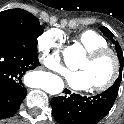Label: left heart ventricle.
<instances>
[{
  "instance_id": "1",
  "label": "left heart ventricle",
  "mask_w": 124,
  "mask_h": 124,
  "mask_svg": "<svg viewBox=\"0 0 124 124\" xmlns=\"http://www.w3.org/2000/svg\"><path fill=\"white\" fill-rule=\"evenodd\" d=\"M76 69L87 71L92 87L99 86L107 81L113 70V61L110 55L90 60L86 56L80 61Z\"/></svg>"
}]
</instances>
